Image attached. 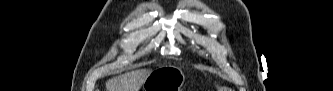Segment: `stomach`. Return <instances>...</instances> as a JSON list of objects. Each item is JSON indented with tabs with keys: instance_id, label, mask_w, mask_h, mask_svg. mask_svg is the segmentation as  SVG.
Wrapping results in <instances>:
<instances>
[{
	"instance_id": "obj_1",
	"label": "stomach",
	"mask_w": 333,
	"mask_h": 91,
	"mask_svg": "<svg viewBox=\"0 0 333 91\" xmlns=\"http://www.w3.org/2000/svg\"><path fill=\"white\" fill-rule=\"evenodd\" d=\"M185 82L183 71L176 66H162L150 72L145 79L143 91H182Z\"/></svg>"
}]
</instances>
